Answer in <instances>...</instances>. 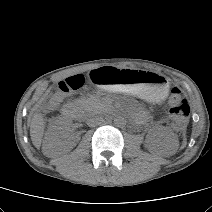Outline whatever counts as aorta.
<instances>
[{"instance_id": "1", "label": "aorta", "mask_w": 212, "mask_h": 212, "mask_svg": "<svg viewBox=\"0 0 212 212\" xmlns=\"http://www.w3.org/2000/svg\"><path fill=\"white\" fill-rule=\"evenodd\" d=\"M125 123H126V121L122 116H118L114 119V124L118 127L125 125Z\"/></svg>"}]
</instances>
